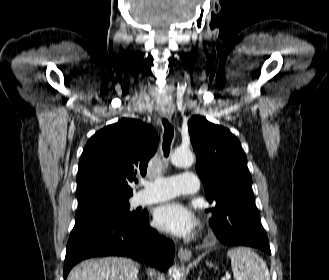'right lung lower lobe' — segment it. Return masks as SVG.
<instances>
[{"label": "right lung lower lobe", "mask_w": 329, "mask_h": 280, "mask_svg": "<svg viewBox=\"0 0 329 280\" xmlns=\"http://www.w3.org/2000/svg\"><path fill=\"white\" fill-rule=\"evenodd\" d=\"M110 255L130 257L166 271L173 262L174 245L149 226L147 211L137 220L97 213L75 223L67 244L64 278L78 262Z\"/></svg>", "instance_id": "1"}]
</instances>
